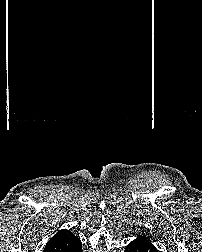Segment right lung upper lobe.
<instances>
[{"label":"right lung upper lobe","mask_w":202,"mask_h":252,"mask_svg":"<svg viewBox=\"0 0 202 252\" xmlns=\"http://www.w3.org/2000/svg\"><path fill=\"white\" fill-rule=\"evenodd\" d=\"M70 230H59L46 244L43 252H73L80 243Z\"/></svg>","instance_id":"obj_1"}]
</instances>
